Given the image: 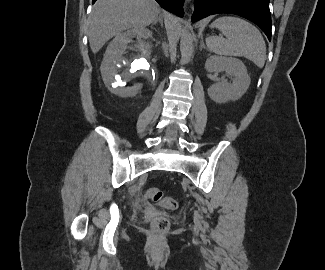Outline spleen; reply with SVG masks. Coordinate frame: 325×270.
<instances>
[{"instance_id":"3e777b00","label":"spleen","mask_w":325,"mask_h":270,"mask_svg":"<svg viewBox=\"0 0 325 270\" xmlns=\"http://www.w3.org/2000/svg\"><path fill=\"white\" fill-rule=\"evenodd\" d=\"M211 27L218 28L225 38L208 36L209 51L218 55L245 57L263 68L266 60V44L260 31L248 21L223 16L216 19Z\"/></svg>"}]
</instances>
